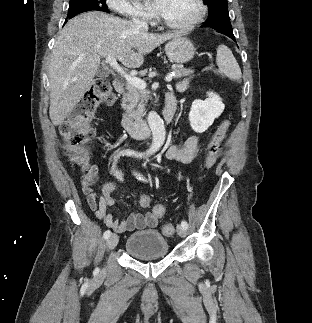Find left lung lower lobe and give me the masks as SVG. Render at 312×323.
Wrapping results in <instances>:
<instances>
[{
    "mask_svg": "<svg viewBox=\"0 0 312 323\" xmlns=\"http://www.w3.org/2000/svg\"><path fill=\"white\" fill-rule=\"evenodd\" d=\"M217 31V30H216ZM219 33H222L224 35H227L228 37L232 38L234 41L235 40V37H234V34H233V31H228V30H218Z\"/></svg>",
    "mask_w": 312,
    "mask_h": 323,
    "instance_id": "obj_1",
    "label": "left lung lower lobe"
}]
</instances>
